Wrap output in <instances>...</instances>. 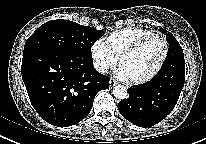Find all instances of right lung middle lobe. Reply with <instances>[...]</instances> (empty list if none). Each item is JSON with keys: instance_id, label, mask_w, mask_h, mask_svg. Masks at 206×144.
I'll use <instances>...</instances> for the list:
<instances>
[{"instance_id": "dd1d6c3e", "label": "right lung middle lobe", "mask_w": 206, "mask_h": 144, "mask_svg": "<svg viewBox=\"0 0 206 144\" xmlns=\"http://www.w3.org/2000/svg\"><path fill=\"white\" fill-rule=\"evenodd\" d=\"M103 31L58 19L41 25L26 41L23 53L34 49H52L86 60H93L91 47Z\"/></svg>"}]
</instances>
